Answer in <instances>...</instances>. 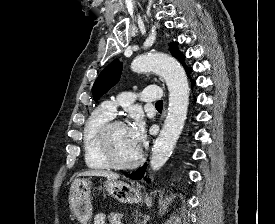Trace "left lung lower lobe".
<instances>
[{
    "label": "left lung lower lobe",
    "mask_w": 275,
    "mask_h": 224,
    "mask_svg": "<svg viewBox=\"0 0 275 224\" xmlns=\"http://www.w3.org/2000/svg\"><path fill=\"white\" fill-rule=\"evenodd\" d=\"M190 72H191V69L189 71H187V74L189 75ZM191 83H192V86H194V84H195L194 80L191 79ZM145 170H146V164L144 166L140 167L139 169H137L134 173L129 174L127 177H129L130 179H133V180H140L143 177Z\"/></svg>",
    "instance_id": "obj_1"
}]
</instances>
